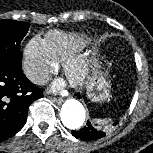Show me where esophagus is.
<instances>
[{
    "label": "esophagus",
    "mask_w": 153,
    "mask_h": 153,
    "mask_svg": "<svg viewBox=\"0 0 153 153\" xmlns=\"http://www.w3.org/2000/svg\"><path fill=\"white\" fill-rule=\"evenodd\" d=\"M49 98L53 103L58 104V105L63 102L62 98H56V97H49Z\"/></svg>",
    "instance_id": "34e87169"
}]
</instances>
